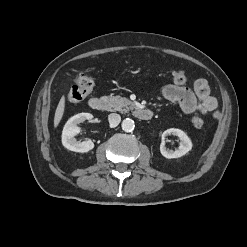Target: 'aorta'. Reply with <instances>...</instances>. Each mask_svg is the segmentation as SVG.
Wrapping results in <instances>:
<instances>
[{
	"label": "aorta",
	"instance_id": "762f6f07",
	"mask_svg": "<svg viewBox=\"0 0 247 247\" xmlns=\"http://www.w3.org/2000/svg\"><path fill=\"white\" fill-rule=\"evenodd\" d=\"M135 128V124H134V121L130 118H126L123 120L122 122V129L125 131V132H131L133 131Z\"/></svg>",
	"mask_w": 247,
	"mask_h": 247
}]
</instances>
